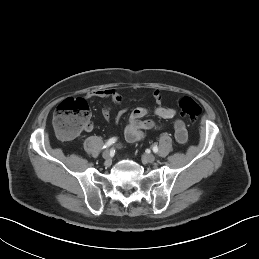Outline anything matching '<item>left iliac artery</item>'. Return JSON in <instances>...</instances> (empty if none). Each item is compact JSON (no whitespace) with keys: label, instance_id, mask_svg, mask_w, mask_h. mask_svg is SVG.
<instances>
[{"label":"left iliac artery","instance_id":"44dca946","mask_svg":"<svg viewBox=\"0 0 259 259\" xmlns=\"http://www.w3.org/2000/svg\"><path fill=\"white\" fill-rule=\"evenodd\" d=\"M153 152H155V153L158 152V147L157 146H153Z\"/></svg>","mask_w":259,"mask_h":259}]
</instances>
